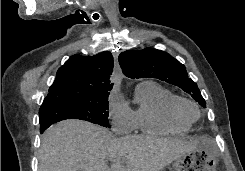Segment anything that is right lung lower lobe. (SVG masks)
<instances>
[{
	"label": "right lung lower lobe",
	"mask_w": 245,
	"mask_h": 171,
	"mask_svg": "<svg viewBox=\"0 0 245 171\" xmlns=\"http://www.w3.org/2000/svg\"><path fill=\"white\" fill-rule=\"evenodd\" d=\"M52 124H42L41 128H40V132L43 133L45 131V129H47L49 126H51Z\"/></svg>",
	"instance_id": "obj_1"
}]
</instances>
